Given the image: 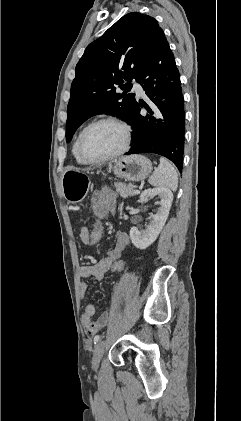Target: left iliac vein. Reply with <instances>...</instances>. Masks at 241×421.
Masks as SVG:
<instances>
[{"mask_svg": "<svg viewBox=\"0 0 241 421\" xmlns=\"http://www.w3.org/2000/svg\"><path fill=\"white\" fill-rule=\"evenodd\" d=\"M104 350H105V342L100 341L95 346V349L93 351L92 365H93L94 368H98V366L100 364V361L102 359V356L104 354Z\"/></svg>", "mask_w": 241, "mask_h": 421, "instance_id": "4c4485c4", "label": "left iliac vein"}]
</instances>
